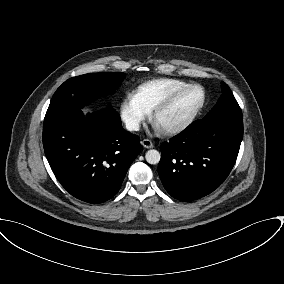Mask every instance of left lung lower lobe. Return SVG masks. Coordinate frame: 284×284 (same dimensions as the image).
Listing matches in <instances>:
<instances>
[{
    "instance_id": "1",
    "label": "left lung lower lobe",
    "mask_w": 284,
    "mask_h": 284,
    "mask_svg": "<svg viewBox=\"0 0 284 284\" xmlns=\"http://www.w3.org/2000/svg\"><path fill=\"white\" fill-rule=\"evenodd\" d=\"M242 137L243 116L216 115L164 142L158 173L166 191L181 201L213 192L231 172Z\"/></svg>"
}]
</instances>
